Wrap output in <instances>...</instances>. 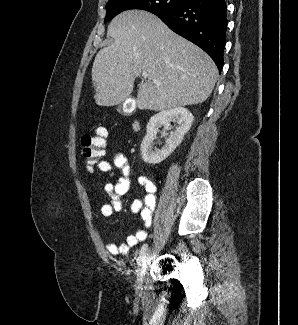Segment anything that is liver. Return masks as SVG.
Segmentation results:
<instances>
[{"instance_id": "liver-1", "label": "liver", "mask_w": 298, "mask_h": 325, "mask_svg": "<svg viewBox=\"0 0 298 325\" xmlns=\"http://www.w3.org/2000/svg\"><path fill=\"white\" fill-rule=\"evenodd\" d=\"M107 34L114 42L97 52L92 66L96 104L124 102L142 72L147 78L137 92L140 110H169L199 104L210 96L218 74L215 62L155 14L136 8L124 10L111 20Z\"/></svg>"}]
</instances>
